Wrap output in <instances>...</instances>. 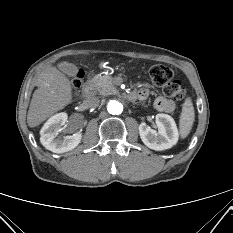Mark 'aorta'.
<instances>
[{"label":"aorta","instance_id":"aorta-1","mask_svg":"<svg viewBox=\"0 0 233 233\" xmlns=\"http://www.w3.org/2000/svg\"><path fill=\"white\" fill-rule=\"evenodd\" d=\"M107 110L112 115H119L123 111V105L116 100H111L107 105Z\"/></svg>","mask_w":233,"mask_h":233}]
</instances>
